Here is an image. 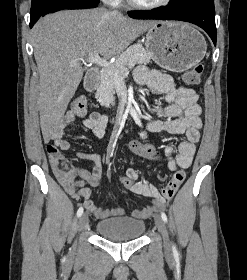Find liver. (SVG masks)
<instances>
[{"label": "liver", "instance_id": "liver-1", "mask_svg": "<svg viewBox=\"0 0 247 280\" xmlns=\"http://www.w3.org/2000/svg\"><path fill=\"white\" fill-rule=\"evenodd\" d=\"M156 22L88 9L60 11L34 25L32 44L40 75L37 103L45 143L50 141L82 80V59L90 53L116 56ZM74 61L76 66L71 65Z\"/></svg>", "mask_w": 247, "mask_h": 280}]
</instances>
